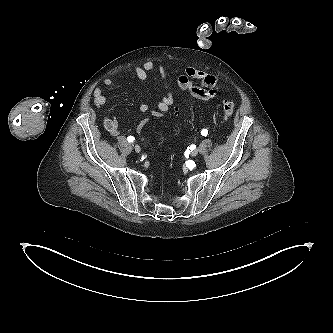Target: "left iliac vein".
<instances>
[{
  "label": "left iliac vein",
  "mask_w": 333,
  "mask_h": 333,
  "mask_svg": "<svg viewBox=\"0 0 333 333\" xmlns=\"http://www.w3.org/2000/svg\"><path fill=\"white\" fill-rule=\"evenodd\" d=\"M197 154H198V149L192 150L191 156L195 157V156H197Z\"/></svg>",
  "instance_id": "1"
}]
</instances>
